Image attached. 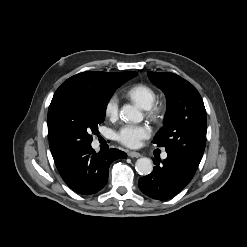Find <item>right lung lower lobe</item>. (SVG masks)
<instances>
[{"label": "right lung lower lobe", "mask_w": 247, "mask_h": 247, "mask_svg": "<svg viewBox=\"0 0 247 247\" xmlns=\"http://www.w3.org/2000/svg\"><path fill=\"white\" fill-rule=\"evenodd\" d=\"M126 153L111 148L96 154L91 145L72 149L55 161L65 183L80 194H94L108 180V168L118 158H126Z\"/></svg>", "instance_id": "1"}]
</instances>
